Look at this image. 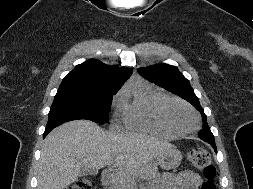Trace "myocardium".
Returning <instances> with one entry per match:
<instances>
[{"label": "myocardium", "mask_w": 253, "mask_h": 189, "mask_svg": "<svg viewBox=\"0 0 253 189\" xmlns=\"http://www.w3.org/2000/svg\"><path fill=\"white\" fill-rule=\"evenodd\" d=\"M173 105L181 106L187 109L193 115L195 120V126L193 128L180 129L172 122L168 115V109ZM155 115L158 122L175 135L183 136L194 133L200 126V119L195 109L186 102L174 97L167 96L166 98L162 99L156 107Z\"/></svg>", "instance_id": "obj_1"}]
</instances>
